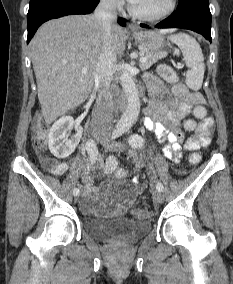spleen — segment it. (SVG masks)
Wrapping results in <instances>:
<instances>
[{
    "label": "spleen",
    "mask_w": 233,
    "mask_h": 284,
    "mask_svg": "<svg viewBox=\"0 0 233 284\" xmlns=\"http://www.w3.org/2000/svg\"><path fill=\"white\" fill-rule=\"evenodd\" d=\"M169 39L181 49L184 56V61L188 67L187 86L192 90H199L202 87L205 72L204 56L199 43L193 37L184 33L170 35Z\"/></svg>",
    "instance_id": "1"
}]
</instances>
